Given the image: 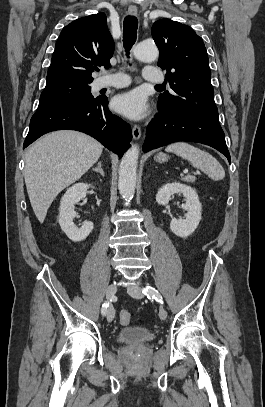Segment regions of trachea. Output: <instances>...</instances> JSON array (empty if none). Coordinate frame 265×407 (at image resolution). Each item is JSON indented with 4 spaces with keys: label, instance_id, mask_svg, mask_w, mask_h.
Here are the masks:
<instances>
[{
    "label": "trachea",
    "instance_id": "trachea-1",
    "mask_svg": "<svg viewBox=\"0 0 265 407\" xmlns=\"http://www.w3.org/2000/svg\"><path fill=\"white\" fill-rule=\"evenodd\" d=\"M138 20L135 16H127L123 22V44L126 55L129 56V51L134 45L137 38ZM161 87L162 85H157Z\"/></svg>",
    "mask_w": 265,
    "mask_h": 407
}]
</instances>
